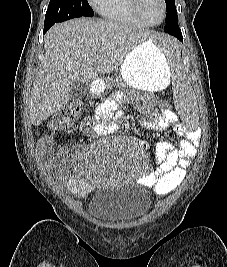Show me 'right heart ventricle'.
<instances>
[{
    "label": "right heart ventricle",
    "mask_w": 227,
    "mask_h": 267,
    "mask_svg": "<svg viewBox=\"0 0 227 267\" xmlns=\"http://www.w3.org/2000/svg\"><path fill=\"white\" fill-rule=\"evenodd\" d=\"M96 10L101 16L113 22L146 25L134 14L130 0H103Z\"/></svg>",
    "instance_id": "right-heart-ventricle-1"
}]
</instances>
